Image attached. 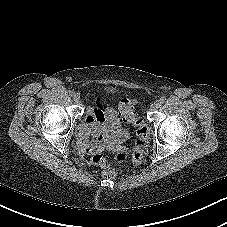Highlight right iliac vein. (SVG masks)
<instances>
[{"label": "right iliac vein", "mask_w": 227, "mask_h": 227, "mask_svg": "<svg viewBox=\"0 0 227 227\" xmlns=\"http://www.w3.org/2000/svg\"><path fill=\"white\" fill-rule=\"evenodd\" d=\"M73 99H74L75 102H79V101H80V94L75 93V94L73 95Z\"/></svg>", "instance_id": "1"}]
</instances>
